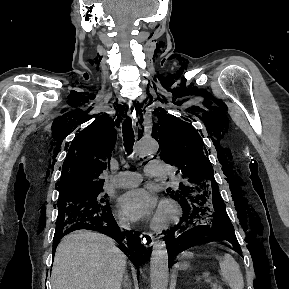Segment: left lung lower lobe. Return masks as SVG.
Segmentation results:
<instances>
[{"label":"left lung lower lobe","mask_w":289,"mask_h":289,"mask_svg":"<svg viewBox=\"0 0 289 289\" xmlns=\"http://www.w3.org/2000/svg\"><path fill=\"white\" fill-rule=\"evenodd\" d=\"M183 209L181 221L164 237L169 260L193 246L197 237L211 236L229 241L241 254L234 227L225 211L224 202L214 197L211 201L201 196L190 197L187 202H179ZM212 217L211 222L207 221Z\"/></svg>","instance_id":"obj_1"}]
</instances>
